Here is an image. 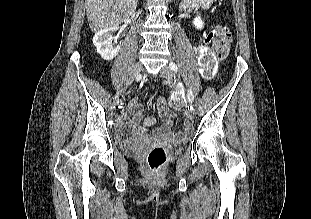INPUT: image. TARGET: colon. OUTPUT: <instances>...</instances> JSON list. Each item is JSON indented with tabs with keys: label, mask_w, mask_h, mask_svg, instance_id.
<instances>
[{
	"label": "colon",
	"mask_w": 311,
	"mask_h": 219,
	"mask_svg": "<svg viewBox=\"0 0 311 219\" xmlns=\"http://www.w3.org/2000/svg\"><path fill=\"white\" fill-rule=\"evenodd\" d=\"M210 40L212 41L213 50L209 52L202 48L199 55V63L202 67L204 76L207 78L214 75L217 62L224 60L228 56L232 44V36L226 27L221 26L211 33ZM170 102L173 106L177 105L176 99H171ZM126 129L127 126H124L123 132H125ZM167 158L168 152L165 148H153L147 156L149 169L153 172L160 170Z\"/></svg>",
	"instance_id": "obj_1"
}]
</instances>
